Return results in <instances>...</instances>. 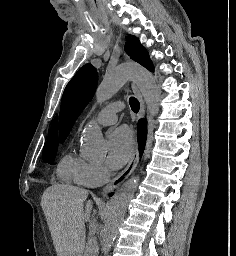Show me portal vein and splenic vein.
Here are the masks:
<instances>
[{
	"mask_svg": "<svg viewBox=\"0 0 236 256\" xmlns=\"http://www.w3.org/2000/svg\"><path fill=\"white\" fill-rule=\"evenodd\" d=\"M92 226H93V228H94V226H96V224H92Z\"/></svg>",
	"mask_w": 236,
	"mask_h": 256,
	"instance_id": "18ae733b",
	"label": "portal vein and splenic vein"
}]
</instances>
